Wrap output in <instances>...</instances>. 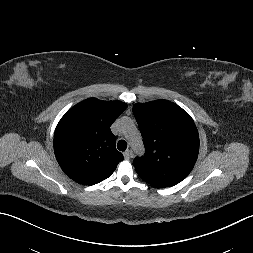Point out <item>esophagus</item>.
I'll use <instances>...</instances> for the list:
<instances>
[{
  "mask_svg": "<svg viewBox=\"0 0 253 253\" xmlns=\"http://www.w3.org/2000/svg\"><path fill=\"white\" fill-rule=\"evenodd\" d=\"M123 155H124V158H125L126 160H129V159L131 158L132 152H131V150H126V151L123 153Z\"/></svg>",
  "mask_w": 253,
  "mask_h": 253,
  "instance_id": "1",
  "label": "esophagus"
}]
</instances>
